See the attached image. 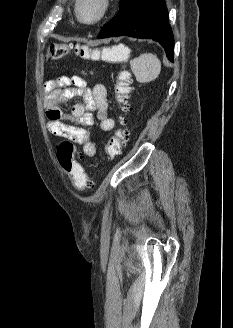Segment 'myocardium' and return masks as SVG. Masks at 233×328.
I'll use <instances>...</instances> for the list:
<instances>
[{"label":"myocardium","instance_id":"myocardium-1","mask_svg":"<svg viewBox=\"0 0 233 328\" xmlns=\"http://www.w3.org/2000/svg\"><path fill=\"white\" fill-rule=\"evenodd\" d=\"M82 3L83 0H76L75 2V13L77 16V19L86 25H94L98 22H100L101 20L104 19V17L107 15L110 6H111V0H99V4H100V8L98 13L91 19H85L83 18L82 15Z\"/></svg>","mask_w":233,"mask_h":328}]
</instances>
